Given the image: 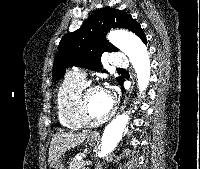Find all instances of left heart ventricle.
<instances>
[{
  "instance_id": "1",
  "label": "left heart ventricle",
  "mask_w": 200,
  "mask_h": 169,
  "mask_svg": "<svg viewBox=\"0 0 200 169\" xmlns=\"http://www.w3.org/2000/svg\"><path fill=\"white\" fill-rule=\"evenodd\" d=\"M88 117L92 121H97L107 115L110 106L105 98L103 91L90 93L86 101Z\"/></svg>"
}]
</instances>
